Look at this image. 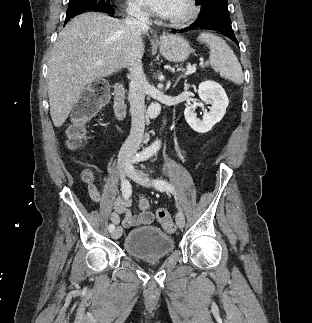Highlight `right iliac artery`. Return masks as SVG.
I'll return each mask as SVG.
<instances>
[{"mask_svg":"<svg viewBox=\"0 0 312 323\" xmlns=\"http://www.w3.org/2000/svg\"><path fill=\"white\" fill-rule=\"evenodd\" d=\"M138 159H140V158L133 159L132 163L139 162ZM121 186H122V189H121L122 190V195H123L124 199H128L131 196V193H132V188H131V185H130L129 181L123 180ZM114 229H115V226L113 224H110L108 226V230L110 232H113Z\"/></svg>","mask_w":312,"mask_h":323,"instance_id":"82829eb1","label":"right iliac artery"}]
</instances>
